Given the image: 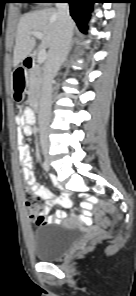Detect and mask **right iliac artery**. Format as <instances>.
Listing matches in <instances>:
<instances>
[{"label":"right iliac artery","instance_id":"obj_1","mask_svg":"<svg viewBox=\"0 0 136 296\" xmlns=\"http://www.w3.org/2000/svg\"><path fill=\"white\" fill-rule=\"evenodd\" d=\"M43 168L45 171H49V166L46 161L43 162Z\"/></svg>","mask_w":136,"mask_h":296}]
</instances>
